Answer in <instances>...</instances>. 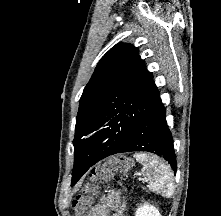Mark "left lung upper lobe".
<instances>
[{"mask_svg": "<svg viewBox=\"0 0 221 216\" xmlns=\"http://www.w3.org/2000/svg\"><path fill=\"white\" fill-rule=\"evenodd\" d=\"M156 91L138 48L119 43L103 56L80 99L72 179L81 169L84 150L103 143L114 149L126 144L152 107Z\"/></svg>", "mask_w": 221, "mask_h": 216, "instance_id": "obj_1", "label": "left lung upper lobe"}]
</instances>
